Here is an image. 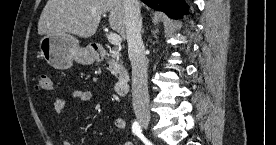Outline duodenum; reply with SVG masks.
Instances as JSON below:
<instances>
[{"mask_svg": "<svg viewBox=\"0 0 276 145\" xmlns=\"http://www.w3.org/2000/svg\"><path fill=\"white\" fill-rule=\"evenodd\" d=\"M94 51H95L96 57L99 59H102L106 54V51L102 46H95ZM129 80H130L129 71L123 68L120 69L118 72V78L115 84V92L119 96L122 97L126 95Z\"/></svg>", "mask_w": 276, "mask_h": 145, "instance_id": "410a0bca", "label": "duodenum"}]
</instances>
